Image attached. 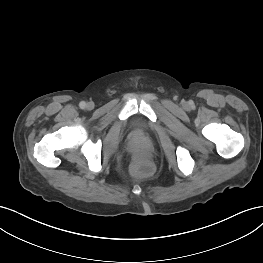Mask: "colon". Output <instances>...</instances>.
I'll use <instances>...</instances> for the list:
<instances>
[{"label": "colon", "mask_w": 263, "mask_h": 263, "mask_svg": "<svg viewBox=\"0 0 263 263\" xmlns=\"http://www.w3.org/2000/svg\"><path fill=\"white\" fill-rule=\"evenodd\" d=\"M152 164L145 159L137 160L132 166V172L140 175V176H147L152 172Z\"/></svg>", "instance_id": "obj_1"}]
</instances>
